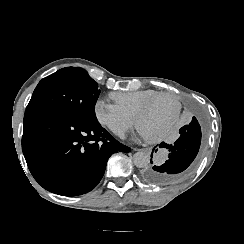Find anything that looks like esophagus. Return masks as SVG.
I'll use <instances>...</instances> for the list:
<instances>
[{"label": "esophagus", "mask_w": 244, "mask_h": 244, "mask_svg": "<svg viewBox=\"0 0 244 244\" xmlns=\"http://www.w3.org/2000/svg\"><path fill=\"white\" fill-rule=\"evenodd\" d=\"M134 151H142V152H145V153H150L151 152V148L148 147V148H134Z\"/></svg>", "instance_id": "obj_1"}]
</instances>
